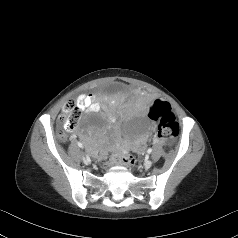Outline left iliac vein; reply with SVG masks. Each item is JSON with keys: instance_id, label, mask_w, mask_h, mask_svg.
Listing matches in <instances>:
<instances>
[{"instance_id": "4c4485c4", "label": "left iliac vein", "mask_w": 238, "mask_h": 238, "mask_svg": "<svg viewBox=\"0 0 238 238\" xmlns=\"http://www.w3.org/2000/svg\"><path fill=\"white\" fill-rule=\"evenodd\" d=\"M151 166H152V161H150V160H147V161L144 163V167H145L146 169L150 168Z\"/></svg>"}]
</instances>
